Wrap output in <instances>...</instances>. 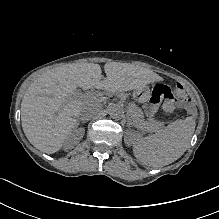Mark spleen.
Listing matches in <instances>:
<instances>
[{"label": "spleen", "instance_id": "3e777b00", "mask_svg": "<svg viewBox=\"0 0 219 219\" xmlns=\"http://www.w3.org/2000/svg\"><path fill=\"white\" fill-rule=\"evenodd\" d=\"M195 126L193 117L178 119L154 135L138 139L133 144L134 156L150 167L171 164L189 147Z\"/></svg>", "mask_w": 219, "mask_h": 219}]
</instances>
